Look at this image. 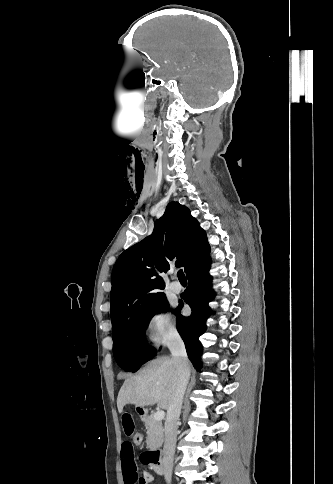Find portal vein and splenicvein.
<instances>
[{"label":"portal vein and splenic vein","mask_w":333,"mask_h":484,"mask_svg":"<svg viewBox=\"0 0 333 484\" xmlns=\"http://www.w3.org/2000/svg\"><path fill=\"white\" fill-rule=\"evenodd\" d=\"M165 417V412L163 410H159L154 414V419L156 421H162Z\"/></svg>","instance_id":"18ae733b"}]
</instances>
